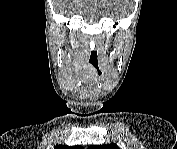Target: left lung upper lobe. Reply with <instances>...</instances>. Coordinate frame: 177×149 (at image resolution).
I'll return each mask as SVG.
<instances>
[{
    "label": "left lung upper lobe",
    "instance_id": "obj_1",
    "mask_svg": "<svg viewBox=\"0 0 177 149\" xmlns=\"http://www.w3.org/2000/svg\"><path fill=\"white\" fill-rule=\"evenodd\" d=\"M90 148H95V149H119V147L114 144V143H111V144H107V145H98V146H90Z\"/></svg>",
    "mask_w": 177,
    "mask_h": 149
}]
</instances>
